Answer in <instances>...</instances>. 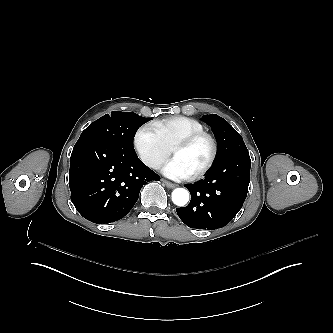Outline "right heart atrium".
I'll return each mask as SVG.
<instances>
[{
	"mask_svg": "<svg viewBox=\"0 0 333 333\" xmlns=\"http://www.w3.org/2000/svg\"><path fill=\"white\" fill-rule=\"evenodd\" d=\"M134 148L143 163L157 170L170 155L171 149L165 144L153 125H144L135 136Z\"/></svg>",
	"mask_w": 333,
	"mask_h": 333,
	"instance_id": "obj_1",
	"label": "right heart atrium"
}]
</instances>
